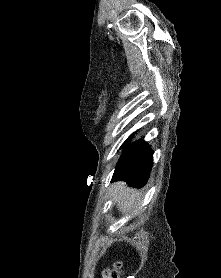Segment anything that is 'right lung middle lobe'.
Segmentation results:
<instances>
[{
	"mask_svg": "<svg viewBox=\"0 0 221 278\" xmlns=\"http://www.w3.org/2000/svg\"><path fill=\"white\" fill-rule=\"evenodd\" d=\"M135 135V133H133L132 135H130V137L123 143L122 146H124L127 142L130 141V139Z\"/></svg>",
	"mask_w": 221,
	"mask_h": 278,
	"instance_id": "1",
	"label": "right lung middle lobe"
}]
</instances>
